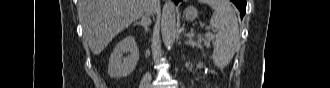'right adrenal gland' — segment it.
I'll use <instances>...</instances> for the list:
<instances>
[{"instance_id": "1", "label": "right adrenal gland", "mask_w": 330, "mask_h": 88, "mask_svg": "<svg viewBox=\"0 0 330 88\" xmlns=\"http://www.w3.org/2000/svg\"><path fill=\"white\" fill-rule=\"evenodd\" d=\"M134 24L135 25H141L144 28L145 32H147L148 27L150 25V19L147 16H142L141 20L136 21Z\"/></svg>"}]
</instances>
